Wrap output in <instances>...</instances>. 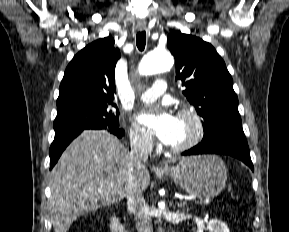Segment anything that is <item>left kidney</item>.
<instances>
[{
    "label": "left kidney",
    "instance_id": "5707ae66",
    "mask_svg": "<svg viewBox=\"0 0 289 232\" xmlns=\"http://www.w3.org/2000/svg\"><path fill=\"white\" fill-rule=\"evenodd\" d=\"M205 229L210 232H230L227 225L218 219L210 220ZM197 232H202V230L199 229Z\"/></svg>",
    "mask_w": 289,
    "mask_h": 232
}]
</instances>
